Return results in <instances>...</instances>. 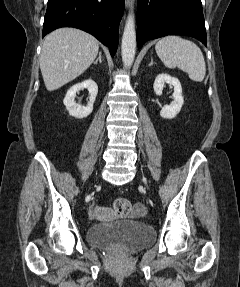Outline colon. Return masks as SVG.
I'll use <instances>...</instances> for the list:
<instances>
[{
  "label": "colon",
  "mask_w": 240,
  "mask_h": 287,
  "mask_svg": "<svg viewBox=\"0 0 240 287\" xmlns=\"http://www.w3.org/2000/svg\"><path fill=\"white\" fill-rule=\"evenodd\" d=\"M112 211L118 217H126L132 212L131 203L126 198H117L113 202ZM134 214L140 215V213L136 212Z\"/></svg>",
  "instance_id": "obj_1"
}]
</instances>
